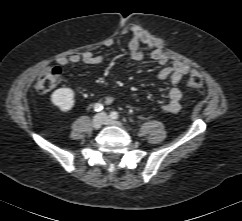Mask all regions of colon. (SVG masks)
Wrapping results in <instances>:
<instances>
[{
  "label": "colon",
  "instance_id": "5ec220e1",
  "mask_svg": "<svg viewBox=\"0 0 242 221\" xmlns=\"http://www.w3.org/2000/svg\"><path fill=\"white\" fill-rule=\"evenodd\" d=\"M62 71L59 67H50L46 69L38 78L36 89L40 93H48L59 83ZM203 84V78L200 72L192 70L189 74L188 85L192 88H199Z\"/></svg>",
  "mask_w": 242,
  "mask_h": 221
}]
</instances>
